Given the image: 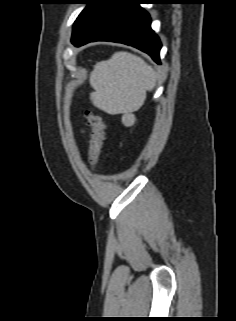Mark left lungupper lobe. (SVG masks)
<instances>
[{
    "label": "left lung upper lobe",
    "mask_w": 236,
    "mask_h": 321,
    "mask_svg": "<svg viewBox=\"0 0 236 321\" xmlns=\"http://www.w3.org/2000/svg\"><path fill=\"white\" fill-rule=\"evenodd\" d=\"M93 2V0H81V3L83 4H88V6L80 13V15L78 16V18L76 19L74 26H73V34L72 37L75 35L84 15L86 14L87 10L89 9V7L91 6V3Z\"/></svg>",
    "instance_id": "left-lung-upper-lobe-1"
}]
</instances>
